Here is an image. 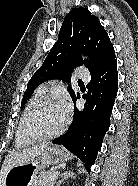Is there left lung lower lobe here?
<instances>
[{"mask_svg": "<svg viewBox=\"0 0 138 186\" xmlns=\"http://www.w3.org/2000/svg\"><path fill=\"white\" fill-rule=\"evenodd\" d=\"M88 92L82 97L86 99L83 111L75 107V116L69 131L52 142L61 144L84 162L90 172L102 140L110 126V116L118 91V72L116 60L101 70L91 74L87 84ZM80 98L77 94L73 102Z\"/></svg>", "mask_w": 138, "mask_h": 186, "instance_id": "left-lung-lower-lobe-1", "label": "left lung lower lobe"}]
</instances>
